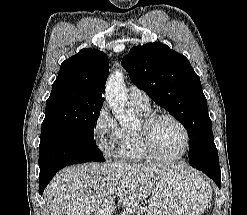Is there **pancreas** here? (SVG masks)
<instances>
[{"mask_svg": "<svg viewBox=\"0 0 247 215\" xmlns=\"http://www.w3.org/2000/svg\"><path fill=\"white\" fill-rule=\"evenodd\" d=\"M144 208L139 204H134L126 208L121 215H142Z\"/></svg>", "mask_w": 247, "mask_h": 215, "instance_id": "pancreas-1", "label": "pancreas"}]
</instances>
